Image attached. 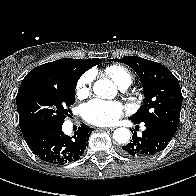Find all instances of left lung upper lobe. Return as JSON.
<instances>
[{"label":"left lung upper lobe","mask_w":196,"mask_h":196,"mask_svg":"<svg viewBox=\"0 0 196 196\" xmlns=\"http://www.w3.org/2000/svg\"><path fill=\"white\" fill-rule=\"evenodd\" d=\"M109 61H117L130 66L142 82L144 104L130 118L139 123L156 121L175 133L183 97L178 80L168 68L137 56H126Z\"/></svg>","instance_id":"5c2ea615"}]
</instances>
